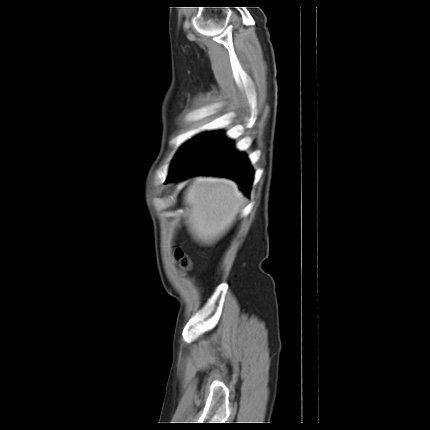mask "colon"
Returning <instances> with one entry per match:
<instances>
[{
  "label": "colon",
  "mask_w": 430,
  "mask_h": 430,
  "mask_svg": "<svg viewBox=\"0 0 430 430\" xmlns=\"http://www.w3.org/2000/svg\"><path fill=\"white\" fill-rule=\"evenodd\" d=\"M176 259L178 261V264L180 266V268L183 271H187L191 268V261L190 259L181 251V250H177L176 252Z\"/></svg>",
  "instance_id": "5ec220e1"
}]
</instances>
